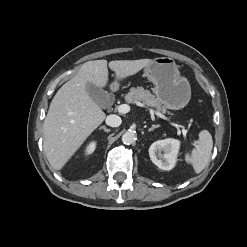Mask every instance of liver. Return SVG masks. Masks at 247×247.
Returning a JSON list of instances; mask_svg holds the SVG:
<instances>
[{"instance_id":"6515ba94","label":"liver","mask_w":247,"mask_h":247,"mask_svg":"<svg viewBox=\"0 0 247 247\" xmlns=\"http://www.w3.org/2000/svg\"><path fill=\"white\" fill-rule=\"evenodd\" d=\"M151 59L95 60L82 65L51 101L43 124L44 151L50 165L61 170L91 133L105 120L106 114L90 97L86 86L91 83L103 88L108 84V68L119 80L138 73Z\"/></svg>"}]
</instances>
